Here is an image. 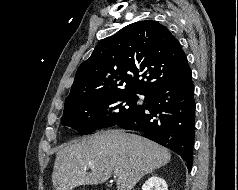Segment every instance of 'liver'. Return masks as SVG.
I'll return each mask as SVG.
<instances>
[{
  "mask_svg": "<svg viewBox=\"0 0 238 190\" xmlns=\"http://www.w3.org/2000/svg\"><path fill=\"white\" fill-rule=\"evenodd\" d=\"M170 159L166 148L145 137L105 131L62 147L56 155L52 182L55 190H72L104 183L114 172L117 190H131Z\"/></svg>",
  "mask_w": 238,
  "mask_h": 190,
  "instance_id": "6515ba94",
  "label": "liver"
}]
</instances>
